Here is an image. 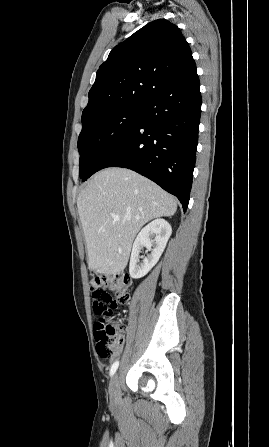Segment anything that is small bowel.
<instances>
[{
  "label": "small bowel",
  "instance_id": "obj_1",
  "mask_svg": "<svg viewBox=\"0 0 269 447\" xmlns=\"http://www.w3.org/2000/svg\"><path fill=\"white\" fill-rule=\"evenodd\" d=\"M118 353H119V350H118L117 352H115L114 354H116V355H117Z\"/></svg>",
  "mask_w": 269,
  "mask_h": 447
}]
</instances>
